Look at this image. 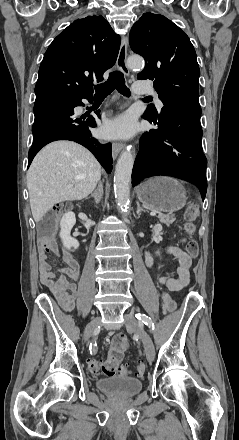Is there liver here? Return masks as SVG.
<instances>
[{"label": "liver", "instance_id": "obj_1", "mask_svg": "<svg viewBox=\"0 0 239 440\" xmlns=\"http://www.w3.org/2000/svg\"><path fill=\"white\" fill-rule=\"evenodd\" d=\"M76 176H84L76 180ZM101 176L93 154L75 142H52L35 156L27 172V188L34 222L38 224L54 204L83 200Z\"/></svg>", "mask_w": 239, "mask_h": 440}]
</instances>
